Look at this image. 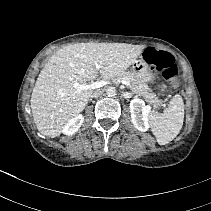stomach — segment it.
<instances>
[{
	"label": "stomach",
	"instance_id": "1",
	"mask_svg": "<svg viewBox=\"0 0 211 211\" xmlns=\"http://www.w3.org/2000/svg\"><path fill=\"white\" fill-rule=\"evenodd\" d=\"M131 72L142 82H151L154 79L148 63L142 57L132 64Z\"/></svg>",
	"mask_w": 211,
	"mask_h": 211
}]
</instances>
